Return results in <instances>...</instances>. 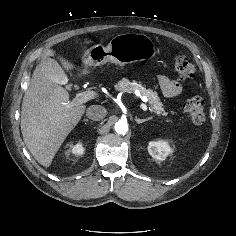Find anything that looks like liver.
Masks as SVG:
<instances>
[{
  "instance_id": "6515ba94",
  "label": "liver",
  "mask_w": 236,
  "mask_h": 236,
  "mask_svg": "<svg viewBox=\"0 0 236 236\" xmlns=\"http://www.w3.org/2000/svg\"><path fill=\"white\" fill-rule=\"evenodd\" d=\"M89 43L85 41L82 44ZM54 55V50H47L36 66L21 111L23 140L33 157L44 167L51 165L56 152L86 109L85 105L70 103L69 93L48 77L46 60ZM58 58L67 71L75 68L63 57ZM83 72L87 71L83 69Z\"/></svg>"
}]
</instances>
